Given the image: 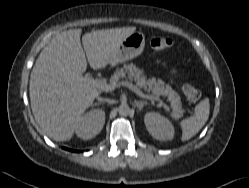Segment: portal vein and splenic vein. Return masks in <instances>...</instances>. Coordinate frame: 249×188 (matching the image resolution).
Listing matches in <instances>:
<instances>
[{"label":"portal vein and splenic vein","mask_w":249,"mask_h":188,"mask_svg":"<svg viewBox=\"0 0 249 188\" xmlns=\"http://www.w3.org/2000/svg\"><path fill=\"white\" fill-rule=\"evenodd\" d=\"M84 82L103 91H112L115 89L116 86L112 85V84H107L105 82L93 79L92 77H90L89 75H87L84 78ZM120 85L128 87L129 89H131L132 91H134L137 95H139L142 98H146L149 100H156L154 97H152L151 95H145L139 88H137V86H135L134 84L128 82V81H123L120 83Z\"/></svg>","instance_id":"obj_1"}]
</instances>
